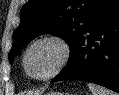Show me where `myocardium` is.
I'll return each mask as SVG.
<instances>
[{
    "label": "myocardium",
    "instance_id": "1",
    "mask_svg": "<svg viewBox=\"0 0 119 95\" xmlns=\"http://www.w3.org/2000/svg\"><path fill=\"white\" fill-rule=\"evenodd\" d=\"M55 42L56 44H58L62 50V56L61 59L59 61V63L57 64V66L55 67V69L48 75L46 76H35L33 75L28 68V56L31 52V50L39 43L42 42ZM72 56V46L69 43V41L64 38L61 35H56V34H50V35H44L41 36L37 39H35L26 49L24 57H23V65H24V69L25 72L27 73L28 76H30L31 78L35 79V80H39V81H47L50 80L52 78H54L55 76H57L70 62Z\"/></svg>",
    "mask_w": 119,
    "mask_h": 95
}]
</instances>
